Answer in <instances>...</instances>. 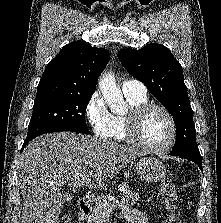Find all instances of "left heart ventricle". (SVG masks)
I'll return each instance as SVG.
<instances>
[{"instance_id": "obj_1", "label": "left heart ventricle", "mask_w": 221, "mask_h": 223, "mask_svg": "<svg viewBox=\"0 0 221 223\" xmlns=\"http://www.w3.org/2000/svg\"><path fill=\"white\" fill-rule=\"evenodd\" d=\"M171 136V127L167 116L160 110L148 111L140 124V139L152 146H162L168 142Z\"/></svg>"}]
</instances>
